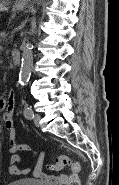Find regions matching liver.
Returning a JSON list of instances; mask_svg holds the SVG:
<instances>
[{"instance_id": "obj_1", "label": "liver", "mask_w": 119, "mask_h": 185, "mask_svg": "<svg viewBox=\"0 0 119 185\" xmlns=\"http://www.w3.org/2000/svg\"><path fill=\"white\" fill-rule=\"evenodd\" d=\"M4 10H7V8L4 5L0 4V11H4Z\"/></svg>"}]
</instances>
